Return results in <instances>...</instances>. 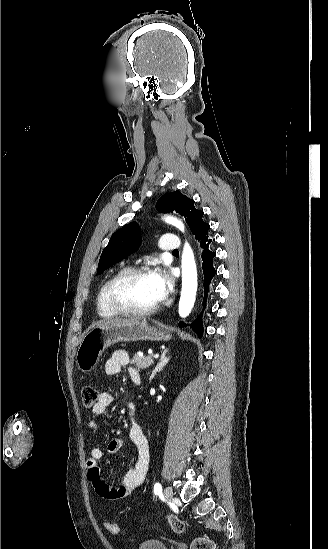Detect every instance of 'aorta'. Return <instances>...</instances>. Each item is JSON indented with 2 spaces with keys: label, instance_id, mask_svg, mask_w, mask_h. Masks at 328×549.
<instances>
[{
  "label": "aorta",
  "instance_id": "762f6f07",
  "mask_svg": "<svg viewBox=\"0 0 328 549\" xmlns=\"http://www.w3.org/2000/svg\"><path fill=\"white\" fill-rule=\"evenodd\" d=\"M165 222L174 225L182 232H184L183 223L175 217L167 216ZM182 291L179 301L178 312L180 317L186 318L193 306L196 299L197 292V268L194 259L193 251L189 243H185L182 253Z\"/></svg>",
  "mask_w": 328,
  "mask_h": 549
}]
</instances>
